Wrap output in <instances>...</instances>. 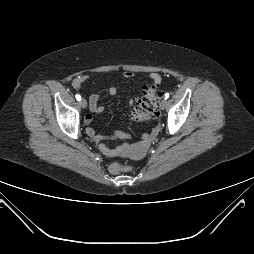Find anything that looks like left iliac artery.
<instances>
[{
  "label": "left iliac artery",
  "mask_w": 254,
  "mask_h": 254,
  "mask_svg": "<svg viewBox=\"0 0 254 254\" xmlns=\"http://www.w3.org/2000/svg\"><path fill=\"white\" fill-rule=\"evenodd\" d=\"M168 98H169V93H166V94L164 95V99L167 100Z\"/></svg>",
  "instance_id": "obj_1"
}]
</instances>
